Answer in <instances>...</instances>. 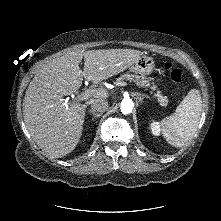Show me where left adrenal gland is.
<instances>
[{
    "label": "left adrenal gland",
    "mask_w": 221,
    "mask_h": 221,
    "mask_svg": "<svg viewBox=\"0 0 221 221\" xmlns=\"http://www.w3.org/2000/svg\"><path fill=\"white\" fill-rule=\"evenodd\" d=\"M136 95H137L138 100H139L140 103L143 102V99H144V98H148L147 95H142L141 93H136Z\"/></svg>",
    "instance_id": "a2214340"
}]
</instances>
